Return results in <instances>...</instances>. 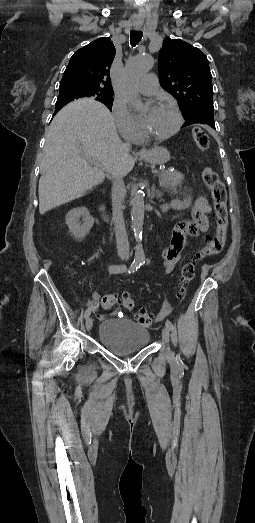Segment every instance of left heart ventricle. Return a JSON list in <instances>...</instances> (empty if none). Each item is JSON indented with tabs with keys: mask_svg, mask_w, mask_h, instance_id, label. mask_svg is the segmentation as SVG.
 Returning a JSON list of instances; mask_svg holds the SVG:
<instances>
[{
	"mask_svg": "<svg viewBox=\"0 0 255 523\" xmlns=\"http://www.w3.org/2000/svg\"><path fill=\"white\" fill-rule=\"evenodd\" d=\"M176 114L167 105L148 111L142 121V130L150 138L159 137L171 132L176 125Z\"/></svg>",
	"mask_w": 255,
	"mask_h": 523,
	"instance_id": "b2bd125f",
	"label": "left heart ventricle"
}]
</instances>
